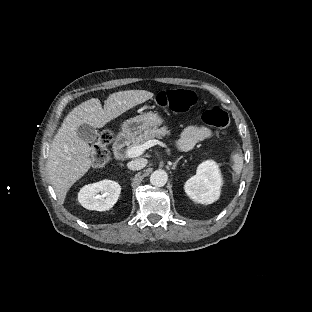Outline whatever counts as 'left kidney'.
Returning <instances> with one entry per match:
<instances>
[{
	"label": "left kidney",
	"instance_id": "5707ae66",
	"mask_svg": "<svg viewBox=\"0 0 312 312\" xmlns=\"http://www.w3.org/2000/svg\"><path fill=\"white\" fill-rule=\"evenodd\" d=\"M221 184L218 167L207 161L198 167L196 176L186 182L185 192L194 202L211 204L218 199Z\"/></svg>",
	"mask_w": 312,
	"mask_h": 312
}]
</instances>
